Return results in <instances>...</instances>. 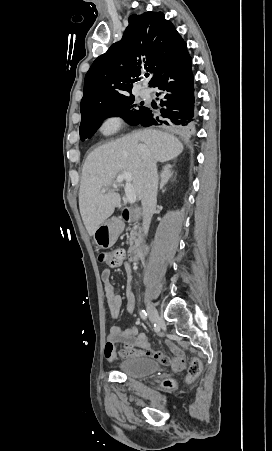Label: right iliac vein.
<instances>
[{
    "label": "right iliac vein",
    "instance_id": "obj_1",
    "mask_svg": "<svg viewBox=\"0 0 272 451\" xmlns=\"http://www.w3.org/2000/svg\"><path fill=\"white\" fill-rule=\"evenodd\" d=\"M147 313L152 323H155L159 319V313L152 303L147 304Z\"/></svg>",
    "mask_w": 272,
    "mask_h": 451
}]
</instances>
